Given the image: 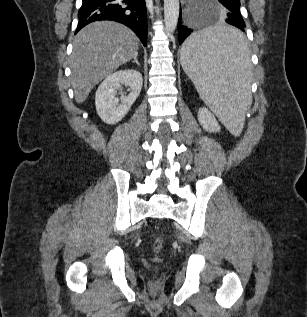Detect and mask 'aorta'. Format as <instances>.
Segmentation results:
<instances>
[{
    "label": "aorta",
    "instance_id": "obj_1",
    "mask_svg": "<svg viewBox=\"0 0 307 317\" xmlns=\"http://www.w3.org/2000/svg\"><path fill=\"white\" fill-rule=\"evenodd\" d=\"M179 17V0H164V22L168 35L175 31Z\"/></svg>",
    "mask_w": 307,
    "mask_h": 317
}]
</instances>
